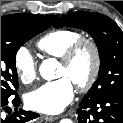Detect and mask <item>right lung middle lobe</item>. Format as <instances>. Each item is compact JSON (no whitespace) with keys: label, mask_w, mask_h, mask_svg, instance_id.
<instances>
[{"label":"right lung middle lobe","mask_w":123,"mask_h":123,"mask_svg":"<svg viewBox=\"0 0 123 123\" xmlns=\"http://www.w3.org/2000/svg\"><path fill=\"white\" fill-rule=\"evenodd\" d=\"M50 26L51 22L43 16L34 19L1 17V97L17 95L15 57L19 48Z\"/></svg>","instance_id":"right-lung-middle-lobe-1"}]
</instances>
